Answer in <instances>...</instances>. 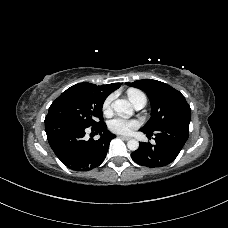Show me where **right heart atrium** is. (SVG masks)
Listing matches in <instances>:
<instances>
[{"mask_svg":"<svg viewBox=\"0 0 228 228\" xmlns=\"http://www.w3.org/2000/svg\"><path fill=\"white\" fill-rule=\"evenodd\" d=\"M112 100H113V97L110 95L103 101L102 110L104 113L107 114L110 112Z\"/></svg>","mask_w":228,"mask_h":228,"instance_id":"d8ad5b80","label":"right heart atrium"}]
</instances>
